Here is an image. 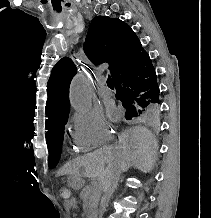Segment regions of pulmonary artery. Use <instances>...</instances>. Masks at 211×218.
<instances>
[{
	"label": "pulmonary artery",
	"mask_w": 211,
	"mask_h": 218,
	"mask_svg": "<svg viewBox=\"0 0 211 218\" xmlns=\"http://www.w3.org/2000/svg\"><path fill=\"white\" fill-rule=\"evenodd\" d=\"M99 85H100L99 93L101 97L108 98L113 95L112 90L107 86V82L105 78H101L99 80Z\"/></svg>",
	"instance_id": "pulmonary-artery-1"
}]
</instances>
